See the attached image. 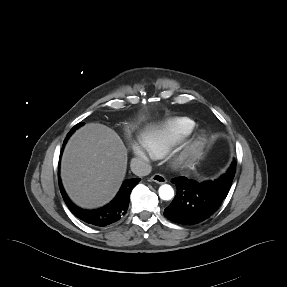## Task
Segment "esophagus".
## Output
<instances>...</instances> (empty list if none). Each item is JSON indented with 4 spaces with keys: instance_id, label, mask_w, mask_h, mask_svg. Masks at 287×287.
Segmentation results:
<instances>
[{
    "instance_id": "34e87169",
    "label": "esophagus",
    "mask_w": 287,
    "mask_h": 287,
    "mask_svg": "<svg viewBox=\"0 0 287 287\" xmlns=\"http://www.w3.org/2000/svg\"><path fill=\"white\" fill-rule=\"evenodd\" d=\"M150 179L158 184H163L167 181L166 178L161 174H154Z\"/></svg>"
}]
</instances>
